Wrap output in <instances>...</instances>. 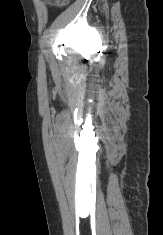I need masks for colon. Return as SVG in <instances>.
<instances>
[{
	"label": "colon",
	"instance_id": "obj_1",
	"mask_svg": "<svg viewBox=\"0 0 163 235\" xmlns=\"http://www.w3.org/2000/svg\"><path fill=\"white\" fill-rule=\"evenodd\" d=\"M46 2L53 7H64L69 3V0H46Z\"/></svg>",
	"mask_w": 163,
	"mask_h": 235
}]
</instances>
